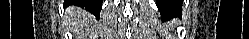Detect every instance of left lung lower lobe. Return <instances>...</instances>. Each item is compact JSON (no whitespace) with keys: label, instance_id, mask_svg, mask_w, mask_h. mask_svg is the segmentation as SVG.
<instances>
[{"label":"left lung lower lobe","instance_id":"1","mask_svg":"<svg viewBox=\"0 0 249 39\" xmlns=\"http://www.w3.org/2000/svg\"><path fill=\"white\" fill-rule=\"evenodd\" d=\"M156 4L163 18L173 16L181 11L182 7V1L177 0H157Z\"/></svg>","mask_w":249,"mask_h":39}]
</instances>
